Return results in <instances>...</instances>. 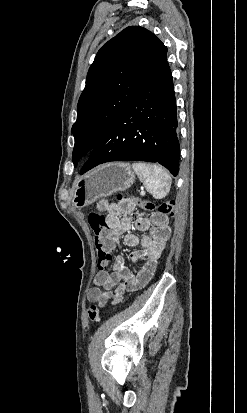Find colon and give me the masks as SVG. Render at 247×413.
<instances>
[{"instance_id":"obj_1","label":"colon","mask_w":247,"mask_h":413,"mask_svg":"<svg viewBox=\"0 0 247 413\" xmlns=\"http://www.w3.org/2000/svg\"><path fill=\"white\" fill-rule=\"evenodd\" d=\"M117 200L120 202L124 195H116ZM133 207H143L147 210H154V203L149 200H141L135 196H130ZM175 202L171 200L162 201L158 207V214L163 217H172L174 214ZM87 221L90 223V227L93 229L95 244L99 255L100 265H111L112 257L111 253L114 251V246L111 244V237L109 233L108 222L104 219V216L99 213L89 214ZM87 317L91 323H96L100 319V309L97 305H90L86 309Z\"/></svg>"}]
</instances>
